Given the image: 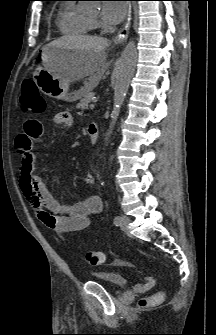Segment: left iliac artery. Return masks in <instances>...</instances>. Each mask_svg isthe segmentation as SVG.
<instances>
[{"label":"left iliac artery","instance_id":"1","mask_svg":"<svg viewBox=\"0 0 216 335\" xmlns=\"http://www.w3.org/2000/svg\"><path fill=\"white\" fill-rule=\"evenodd\" d=\"M120 221H121V217H120V216H116V217L114 218V224H115L116 226L119 225Z\"/></svg>","mask_w":216,"mask_h":335}]
</instances>
